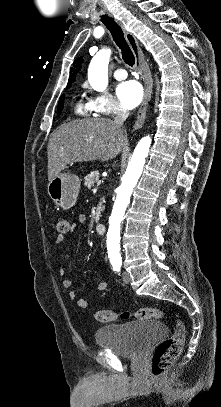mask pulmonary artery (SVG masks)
<instances>
[{"instance_id": "e3ab8cb5", "label": "pulmonary artery", "mask_w": 221, "mask_h": 407, "mask_svg": "<svg viewBox=\"0 0 221 407\" xmlns=\"http://www.w3.org/2000/svg\"><path fill=\"white\" fill-rule=\"evenodd\" d=\"M114 77L117 80H124L127 78V71L124 68H117L114 71Z\"/></svg>"}]
</instances>
